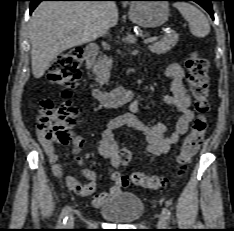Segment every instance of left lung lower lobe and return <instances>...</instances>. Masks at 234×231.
<instances>
[{
    "instance_id": "1",
    "label": "left lung lower lobe",
    "mask_w": 234,
    "mask_h": 231,
    "mask_svg": "<svg viewBox=\"0 0 234 231\" xmlns=\"http://www.w3.org/2000/svg\"><path fill=\"white\" fill-rule=\"evenodd\" d=\"M129 1H132V0H129ZM167 1H194L198 3L199 5H201L210 14L212 19H214L211 1H215V0H167Z\"/></svg>"
}]
</instances>
